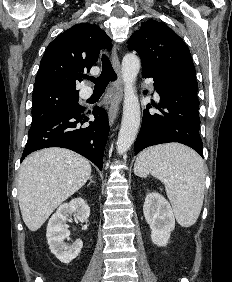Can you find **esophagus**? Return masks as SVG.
Here are the masks:
<instances>
[{
    "label": "esophagus",
    "mask_w": 232,
    "mask_h": 282,
    "mask_svg": "<svg viewBox=\"0 0 232 282\" xmlns=\"http://www.w3.org/2000/svg\"><path fill=\"white\" fill-rule=\"evenodd\" d=\"M112 65L114 71L117 75V79L112 81L110 84V107H109V123L112 126L118 116L122 96H123V89H122V80H121V65L119 61V57L117 54L116 45H113L112 54Z\"/></svg>",
    "instance_id": "1"
}]
</instances>
